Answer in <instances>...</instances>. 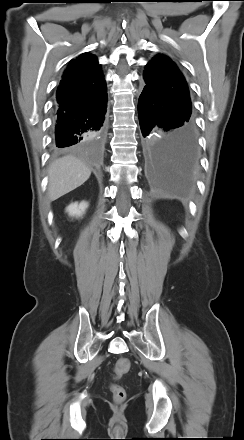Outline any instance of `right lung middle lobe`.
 Here are the masks:
<instances>
[{"label": "right lung middle lobe", "mask_w": 244, "mask_h": 440, "mask_svg": "<svg viewBox=\"0 0 244 440\" xmlns=\"http://www.w3.org/2000/svg\"><path fill=\"white\" fill-rule=\"evenodd\" d=\"M98 140H100V139H98V138H96V139H93V141H98Z\"/></svg>", "instance_id": "1"}]
</instances>
